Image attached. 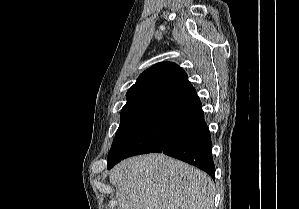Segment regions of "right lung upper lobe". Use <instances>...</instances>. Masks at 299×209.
<instances>
[{"mask_svg":"<svg viewBox=\"0 0 299 209\" xmlns=\"http://www.w3.org/2000/svg\"><path fill=\"white\" fill-rule=\"evenodd\" d=\"M188 83L187 74L175 63L155 64L145 70L128 90L125 106L139 103L161 104Z\"/></svg>","mask_w":299,"mask_h":209,"instance_id":"obj_1","label":"right lung upper lobe"}]
</instances>
